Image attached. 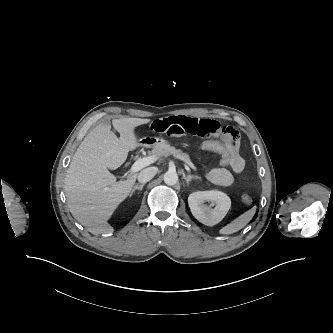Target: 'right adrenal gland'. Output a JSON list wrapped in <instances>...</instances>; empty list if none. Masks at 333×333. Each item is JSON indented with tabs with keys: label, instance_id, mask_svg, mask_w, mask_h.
<instances>
[{
	"label": "right adrenal gland",
	"instance_id": "2a0ac1e0",
	"mask_svg": "<svg viewBox=\"0 0 333 333\" xmlns=\"http://www.w3.org/2000/svg\"><path fill=\"white\" fill-rule=\"evenodd\" d=\"M144 185H145V184H141V185H136V186H134V188L132 189V191H131V193H130V197L133 195V193H134L136 190H140V191H142Z\"/></svg>",
	"mask_w": 333,
	"mask_h": 333
}]
</instances>
